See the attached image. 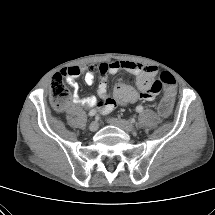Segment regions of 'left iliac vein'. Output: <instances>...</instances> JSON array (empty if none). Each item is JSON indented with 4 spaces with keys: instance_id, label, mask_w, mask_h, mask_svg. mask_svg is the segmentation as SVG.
<instances>
[{
    "instance_id": "1",
    "label": "left iliac vein",
    "mask_w": 215,
    "mask_h": 215,
    "mask_svg": "<svg viewBox=\"0 0 215 215\" xmlns=\"http://www.w3.org/2000/svg\"><path fill=\"white\" fill-rule=\"evenodd\" d=\"M108 122L116 127L121 128L122 130L126 131L127 133H134L136 130L134 126L126 120L119 119V118H109Z\"/></svg>"
}]
</instances>
